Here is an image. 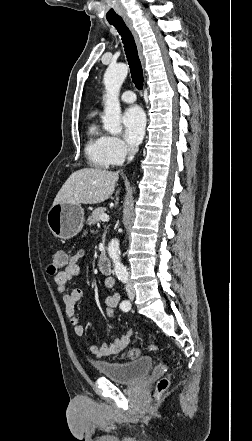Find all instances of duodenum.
Masks as SVG:
<instances>
[{"label":"duodenum","instance_id":"1","mask_svg":"<svg viewBox=\"0 0 252 441\" xmlns=\"http://www.w3.org/2000/svg\"><path fill=\"white\" fill-rule=\"evenodd\" d=\"M99 268L105 274H110L112 272V265L109 259L104 255L99 258Z\"/></svg>","mask_w":252,"mask_h":441}]
</instances>
